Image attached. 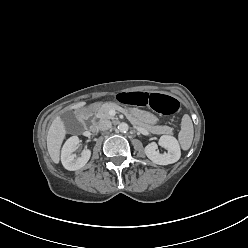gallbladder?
<instances>
[{
    "mask_svg": "<svg viewBox=\"0 0 248 248\" xmlns=\"http://www.w3.org/2000/svg\"><path fill=\"white\" fill-rule=\"evenodd\" d=\"M68 123V129L70 131H78L82 128V125L76 120L72 112H66L64 115Z\"/></svg>",
    "mask_w": 248,
    "mask_h": 248,
    "instance_id": "bac80fb5",
    "label": "gallbladder"
}]
</instances>
